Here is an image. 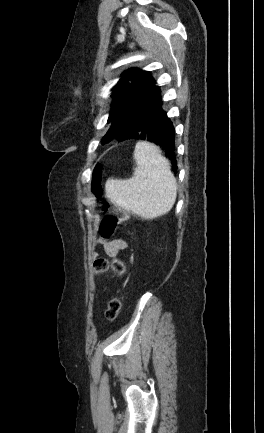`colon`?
<instances>
[{"label": "colon", "mask_w": 264, "mask_h": 433, "mask_svg": "<svg viewBox=\"0 0 264 433\" xmlns=\"http://www.w3.org/2000/svg\"><path fill=\"white\" fill-rule=\"evenodd\" d=\"M101 168L99 165L95 166L93 170L91 188L95 194H100L101 192ZM102 208L104 211L109 210V205L103 204ZM114 214L105 216L100 223V234L104 238L112 237L119 226L127 220L128 215L123 213L119 209L115 208L113 210ZM93 269L95 274H101L109 270L114 271L120 276H123L126 272V267L122 261L116 257H100L97 258L93 263ZM121 309V296L112 298L107 305L105 316L107 320L114 321Z\"/></svg>", "instance_id": "5ec220e1"}]
</instances>
